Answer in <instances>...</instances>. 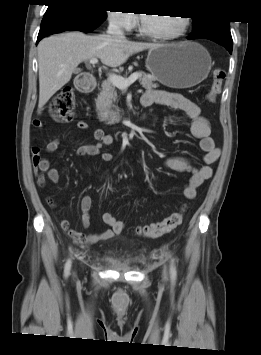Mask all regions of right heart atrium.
Returning a JSON list of instances; mask_svg holds the SVG:
<instances>
[{
	"label": "right heart atrium",
	"instance_id": "obj_1",
	"mask_svg": "<svg viewBox=\"0 0 261 355\" xmlns=\"http://www.w3.org/2000/svg\"><path fill=\"white\" fill-rule=\"evenodd\" d=\"M108 21L112 26L122 31H131L137 24L136 15L128 10L108 12Z\"/></svg>",
	"mask_w": 261,
	"mask_h": 355
}]
</instances>
